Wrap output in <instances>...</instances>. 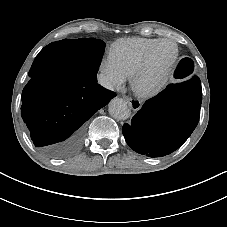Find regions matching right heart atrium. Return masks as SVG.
Segmentation results:
<instances>
[{
	"label": "right heart atrium",
	"instance_id": "obj_1",
	"mask_svg": "<svg viewBox=\"0 0 227 227\" xmlns=\"http://www.w3.org/2000/svg\"><path fill=\"white\" fill-rule=\"evenodd\" d=\"M99 70L103 76L105 86L110 90L119 89L126 81V72L110 58L101 61Z\"/></svg>",
	"mask_w": 227,
	"mask_h": 227
}]
</instances>
